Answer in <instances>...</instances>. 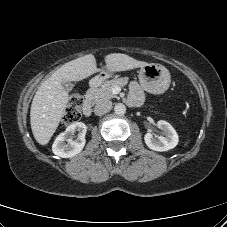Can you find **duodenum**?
<instances>
[{
  "mask_svg": "<svg viewBox=\"0 0 227 227\" xmlns=\"http://www.w3.org/2000/svg\"><path fill=\"white\" fill-rule=\"evenodd\" d=\"M105 75L104 74H100V75H97L90 83V89H93L95 87H97L99 84H101L104 79H105ZM83 114L85 116H90L91 113H92V102H91V99L90 97H87L84 101V104H83Z\"/></svg>",
  "mask_w": 227,
  "mask_h": 227,
  "instance_id": "410a0bca",
  "label": "duodenum"
}]
</instances>
